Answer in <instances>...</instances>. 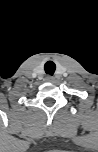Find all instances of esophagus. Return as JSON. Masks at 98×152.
I'll list each match as a JSON object with an SVG mask.
<instances>
[{
  "mask_svg": "<svg viewBox=\"0 0 98 152\" xmlns=\"http://www.w3.org/2000/svg\"><path fill=\"white\" fill-rule=\"evenodd\" d=\"M45 80H46L47 82H53L54 78H53V76L47 75V76L45 77Z\"/></svg>",
  "mask_w": 98,
  "mask_h": 152,
  "instance_id": "34e87169",
  "label": "esophagus"
}]
</instances>
